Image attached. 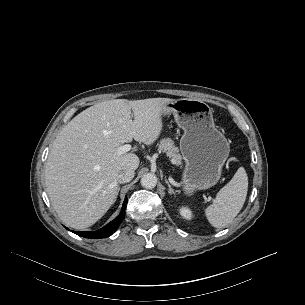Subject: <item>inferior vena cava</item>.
<instances>
[{
    "label": "inferior vena cava",
    "instance_id": "602c4592",
    "mask_svg": "<svg viewBox=\"0 0 305 305\" xmlns=\"http://www.w3.org/2000/svg\"><path fill=\"white\" fill-rule=\"evenodd\" d=\"M134 172L135 170L133 168H123L117 175V181L119 183L130 182L134 177Z\"/></svg>",
    "mask_w": 305,
    "mask_h": 305
}]
</instances>
